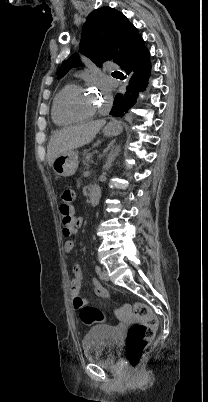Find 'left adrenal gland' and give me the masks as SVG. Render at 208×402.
Segmentation results:
<instances>
[{
  "instance_id": "1",
  "label": "left adrenal gland",
  "mask_w": 208,
  "mask_h": 402,
  "mask_svg": "<svg viewBox=\"0 0 208 402\" xmlns=\"http://www.w3.org/2000/svg\"><path fill=\"white\" fill-rule=\"evenodd\" d=\"M120 146H112L110 154H108V158L106 160V164L104 166V170H109L112 166V162L116 160L117 156H119Z\"/></svg>"
}]
</instances>
